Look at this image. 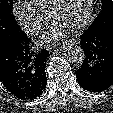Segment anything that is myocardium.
I'll return each mask as SVG.
<instances>
[{
	"label": "myocardium",
	"instance_id": "1",
	"mask_svg": "<svg viewBox=\"0 0 113 113\" xmlns=\"http://www.w3.org/2000/svg\"><path fill=\"white\" fill-rule=\"evenodd\" d=\"M62 1L63 0H53L51 2L49 12H48L49 18L54 19L55 13ZM94 3H95V0L88 1V6H87V10H86V14H85L84 18L80 22H78L76 25L72 26L71 29H73V30L82 29V28L86 27L92 21L93 11H94Z\"/></svg>",
	"mask_w": 113,
	"mask_h": 113
}]
</instances>
